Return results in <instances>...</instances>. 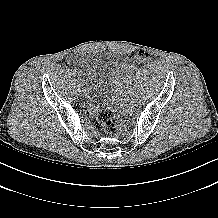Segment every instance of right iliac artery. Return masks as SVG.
Returning a JSON list of instances; mask_svg holds the SVG:
<instances>
[{
    "label": "right iliac artery",
    "mask_w": 218,
    "mask_h": 218,
    "mask_svg": "<svg viewBox=\"0 0 218 218\" xmlns=\"http://www.w3.org/2000/svg\"><path fill=\"white\" fill-rule=\"evenodd\" d=\"M74 74H78V77L80 76V73L76 69L74 70Z\"/></svg>",
    "instance_id": "1"
}]
</instances>
